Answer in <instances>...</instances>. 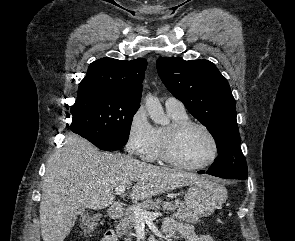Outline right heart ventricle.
Returning <instances> with one entry per match:
<instances>
[{
	"instance_id": "1",
	"label": "right heart ventricle",
	"mask_w": 295,
	"mask_h": 241,
	"mask_svg": "<svg viewBox=\"0 0 295 241\" xmlns=\"http://www.w3.org/2000/svg\"><path fill=\"white\" fill-rule=\"evenodd\" d=\"M167 112L173 122L189 120V117H188L186 111L179 112V111H174V110H167ZM164 129L165 128H156L155 129L153 145H152L150 151L148 152V154L145 156L147 159L155 160V159L160 158V144H161V137H162Z\"/></svg>"
}]
</instances>
